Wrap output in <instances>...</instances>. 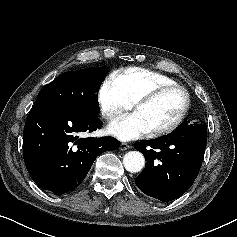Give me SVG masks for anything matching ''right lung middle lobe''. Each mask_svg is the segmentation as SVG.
Instances as JSON below:
<instances>
[{
	"instance_id": "right-lung-middle-lobe-1",
	"label": "right lung middle lobe",
	"mask_w": 237,
	"mask_h": 237,
	"mask_svg": "<svg viewBox=\"0 0 237 237\" xmlns=\"http://www.w3.org/2000/svg\"><path fill=\"white\" fill-rule=\"evenodd\" d=\"M108 67L68 71L46 85L35 103L63 107L84 117H98V91Z\"/></svg>"
}]
</instances>
